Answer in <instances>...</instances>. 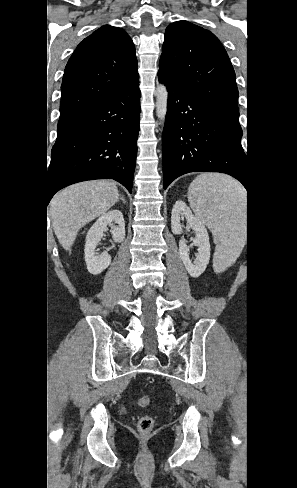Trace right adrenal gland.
I'll return each mask as SVG.
<instances>
[{"label":"right adrenal gland","instance_id":"2a0ac1e0","mask_svg":"<svg viewBox=\"0 0 297 488\" xmlns=\"http://www.w3.org/2000/svg\"><path fill=\"white\" fill-rule=\"evenodd\" d=\"M119 200H122L124 204H126L125 198L120 195Z\"/></svg>","mask_w":297,"mask_h":488}]
</instances>
